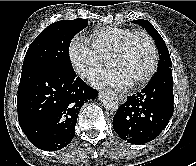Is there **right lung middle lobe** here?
<instances>
[{
	"mask_svg": "<svg viewBox=\"0 0 196 166\" xmlns=\"http://www.w3.org/2000/svg\"><path fill=\"white\" fill-rule=\"evenodd\" d=\"M88 19L57 21L38 35L25 55L22 72L38 67L74 72L69 59L72 38L87 27Z\"/></svg>",
	"mask_w": 196,
	"mask_h": 166,
	"instance_id": "1",
	"label": "right lung middle lobe"
}]
</instances>
